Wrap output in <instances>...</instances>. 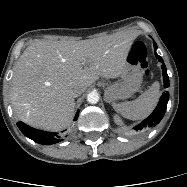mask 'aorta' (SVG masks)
<instances>
[{"label": "aorta", "mask_w": 187, "mask_h": 187, "mask_svg": "<svg viewBox=\"0 0 187 187\" xmlns=\"http://www.w3.org/2000/svg\"><path fill=\"white\" fill-rule=\"evenodd\" d=\"M87 101L91 104H96L99 101V94L95 91L90 92L87 95Z\"/></svg>", "instance_id": "aorta-1"}]
</instances>
